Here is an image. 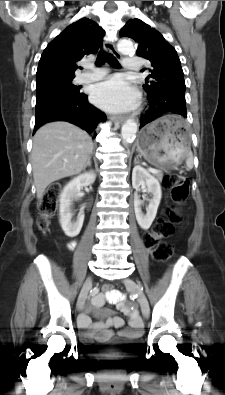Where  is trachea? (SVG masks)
Here are the masks:
<instances>
[{
  "label": "trachea",
  "mask_w": 225,
  "mask_h": 395,
  "mask_svg": "<svg viewBox=\"0 0 225 395\" xmlns=\"http://www.w3.org/2000/svg\"><path fill=\"white\" fill-rule=\"evenodd\" d=\"M105 62H108L114 68L120 67L118 60L113 55L106 54L103 50H101L97 55L96 66L100 67L105 64Z\"/></svg>",
  "instance_id": "3493384b"
}]
</instances>
